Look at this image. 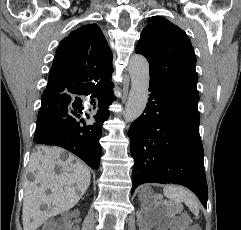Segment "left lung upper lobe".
I'll return each instance as SVG.
<instances>
[{
	"mask_svg": "<svg viewBox=\"0 0 241 230\" xmlns=\"http://www.w3.org/2000/svg\"><path fill=\"white\" fill-rule=\"evenodd\" d=\"M136 53L144 55L150 79L198 94L196 56L186 33L163 17H152L141 32Z\"/></svg>",
	"mask_w": 241,
	"mask_h": 230,
	"instance_id": "1",
	"label": "left lung upper lobe"
}]
</instances>
